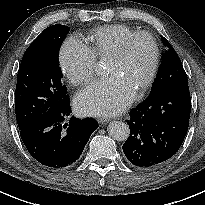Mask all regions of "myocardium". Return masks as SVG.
<instances>
[{
	"instance_id": "f54148a6",
	"label": "myocardium",
	"mask_w": 205,
	"mask_h": 205,
	"mask_svg": "<svg viewBox=\"0 0 205 205\" xmlns=\"http://www.w3.org/2000/svg\"><path fill=\"white\" fill-rule=\"evenodd\" d=\"M140 37H145L150 41L151 46H152L153 55H152V63H151L150 71H149L146 79L144 80V82L137 89V92H139V93L146 90L152 84V82L154 81V79L156 77L157 71H158L159 60H160V50H159V45H158L156 38L151 33L146 32V31L134 32L131 35L127 36L123 40V42L120 45V47L118 48V50L109 59L111 61L122 60L126 56L130 44L135 39L140 38Z\"/></svg>"
}]
</instances>
